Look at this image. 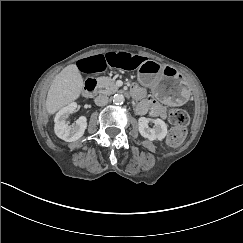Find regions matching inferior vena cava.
<instances>
[{"label": "inferior vena cava", "mask_w": 243, "mask_h": 243, "mask_svg": "<svg viewBox=\"0 0 243 243\" xmlns=\"http://www.w3.org/2000/svg\"><path fill=\"white\" fill-rule=\"evenodd\" d=\"M94 101L97 106H105L107 105L109 98L106 95H99Z\"/></svg>", "instance_id": "obj_1"}]
</instances>
